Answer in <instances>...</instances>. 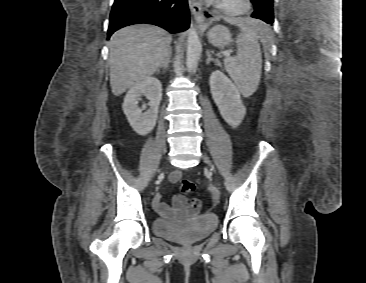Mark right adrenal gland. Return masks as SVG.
I'll use <instances>...</instances> for the list:
<instances>
[{
    "instance_id": "1",
    "label": "right adrenal gland",
    "mask_w": 366,
    "mask_h": 283,
    "mask_svg": "<svg viewBox=\"0 0 366 283\" xmlns=\"http://www.w3.org/2000/svg\"><path fill=\"white\" fill-rule=\"evenodd\" d=\"M171 49L168 51V53L165 55L164 59L160 63L159 67L157 68V73L160 72V69H163L164 71L168 68L170 60H171Z\"/></svg>"
}]
</instances>
